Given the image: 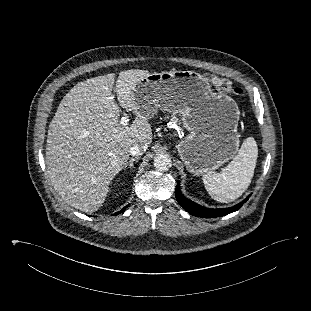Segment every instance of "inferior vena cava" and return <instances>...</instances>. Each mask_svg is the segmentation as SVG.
I'll list each match as a JSON object with an SVG mask.
<instances>
[{
	"label": "inferior vena cava",
	"mask_w": 311,
	"mask_h": 311,
	"mask_svg": "<svg viewBox=\"0 0 311 311\" xmlns=\"http://www.w3.org/2000/svg\"><path fill=\"white\" fill-rule=\"evenodd\" d=\"M147 149L146 144H141V145H134L130 147V154L132 156H139L142 155Z\"/></svg>",
	"instance_id": "obj_1"
}]
</instances>
